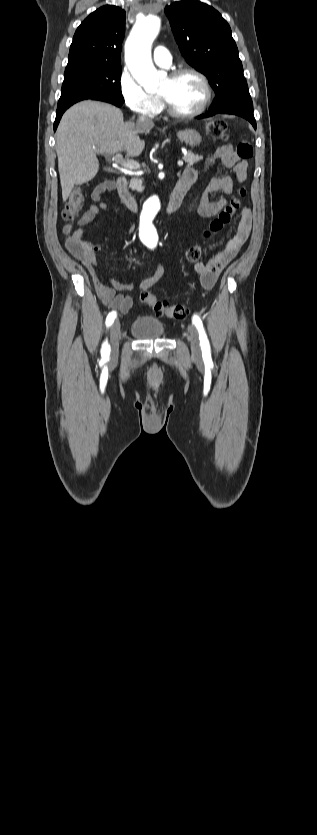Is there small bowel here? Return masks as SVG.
Returning <instances> with one entry per match:
<instances>
[{
	"mask_svg": "<svg viewBox=\"0 0 317 835\" xmlns=\"http://www.w3.org/2000/svg\"><path fill=\"white\" fill-rule=\"evenodd\" d=\"M217 161H220L224 167L229 169L230 174L213 177L202 192L197 205V212L200 216L206 218L215 216L227 204V199L224 197L217 200H212L211 197L218 193L231 195L235 191L236 184L244 182L247 175L248 163L245 160L239 159L233 149V146L230 144L219 147L207 162L213 165ZM199 177L200 173L196 168H187L183 172L180 180L189 188L198 182ZM107 182L97 185L92 191L91 198L94 203L79 219V228L68 239L67 246L88 270L94 288L102 303L109 308L114 309V311L128 313L133 306V298L124 292L135 288L141 291L151 288L163 276L164 269L162 265H158L156 271L151 276L138 282H122L109 277H106L104 281L99 274L95 254L96 250L92 249L91 251L81 255L78 254L71 245L73 241H77L82 237L85 227L95 221L100 210H106L108 208V205L102 201L103 195L106 192L112 191L108 189L109 185H107ZM251 224V213L248 209H244L237 227V232L233 238L229 240L225 248L215 253L206 261H199L194 264V270L197 274H199L201 284L204 288L210 289L215 284L223 269L238 254L248 239L251 231Z\"/></svg>",
	"mask_w": 317,
	"mask_h": 835,
	"instance_id": "c3829d8e",
	"label": "small bowel"
}]
</instances>
